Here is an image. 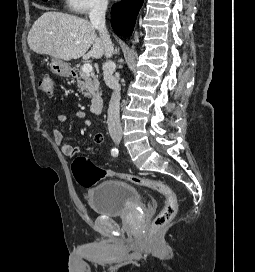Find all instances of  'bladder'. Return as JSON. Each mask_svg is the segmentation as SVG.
Listing matches in <instances>:
<instances>
[{"mask_svg": "<svg viewBox=\"0 0 255 272\" xmlns=\"http://www.w3.org/2000/svg\"><path fill=\"white\" fill-rule=\"evenodd\" d=\"M87 200L92 210L106 217L126 214L140 204L138 190L120 180H105L87 192Z\"/></svg>", "mask_w": 255, "mask_h": 272, "instance_id": "obj_1", "label": "bladder"}]
</instances>
